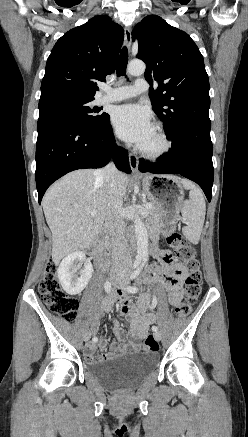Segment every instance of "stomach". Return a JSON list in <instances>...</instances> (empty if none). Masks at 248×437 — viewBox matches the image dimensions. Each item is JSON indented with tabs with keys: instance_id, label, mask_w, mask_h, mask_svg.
<instances>
[{
	"instance_id": "1",
	"label": "stomach",
	"mask_w": 248,
	"mask_h": 437,
	"mask_svg": "<svg viewBox=\"0 0 248 437\" xmlns=\"http://www.w3.org/2000/svg\"><path fill=\"white\" fill-rule=\"evenodd\" d=\"M174 184H178V179L170 175L147 174L142 178L145 195L163 212L160 224L163 233H170L174 230L184 202L182 189L179 187L174 189Z\"/></svg>"
}]
</instances>
